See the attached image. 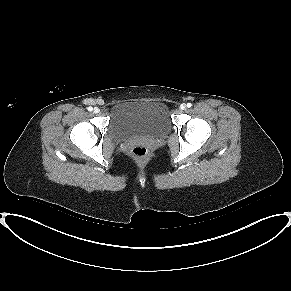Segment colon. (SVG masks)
<instances>
[{
    "label": "colon",
    "instance_id": "colon-1",
    "mask_svg": "<svg viewBox=\"0 0 291 291\" xmlns=\"http://www.w3.org/2000/svg\"><path fill=\"white\" fill-rule=\"evenodd\" d=\"M131 158L136 162H143L148 158L149 151L145 145H137L130 152Z\"/></svg>",
    "mask_w": 291,
    "mask_h": 291
}]
</instances>
